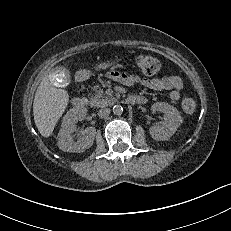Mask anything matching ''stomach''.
<instances>
[{"label":"stomach","instance_id":"0dacf381","mask_svg":"<svg viewBox=\"0 0 231 231\" xmlns=\"http://www.w3.org/2000/svg\"><path fill=\"white\" fill-rule=\"evenodd\" d=\"M112 64L113 63L103 62V63H100L97 66V68H99V69H106V68L110 67ZM90 75H91V72L89 70H86V69L80 70L78 72V77L80 79H87Z\"/></svg>","mask_w":231,"mask_h":231}]
</instances>
